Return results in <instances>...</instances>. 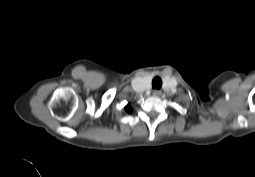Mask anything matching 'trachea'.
I'll list each match as a JSON object with an SVG mask.
<instances>
[{"label": "trachea", "instance_id": "obj_1", "mask_svg": "<svg viewBox=\"0 0 255 177\" xmlns=\"http://www.w3.org/2000/svg\"><path fill=\"white\" fill-rule=\"evenodd\" d=\"M162 86V80L160 77L156 76L153 80H152V88L153 89H160Z\"/></svg>", "mask_w": 255, "mask_h": 177}]
</instances>
